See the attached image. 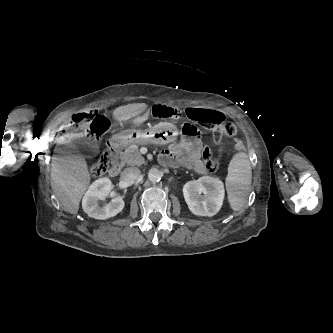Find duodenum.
<instances>
[{"label":"duodenum","instance_id":"obj_1","mask_svg":"<svg viewBox=\"0 0 333 333\" xmlns=\"http://www.w3.org/2000/svg\"><path fill=\"white\" fill-rule=\"evenodd\" d=\"M120 144L118 142H111L108 144V152L111 157V165L109 168V175L112 177L117 176L121 171V164L119 161Z\"/></svg>","mask_w":333,"mask_h":333}]
</instances>
